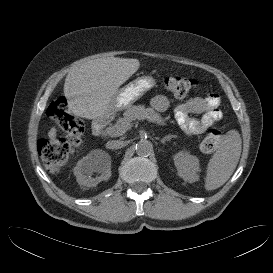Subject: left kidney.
<instances>
[{
	"label": "left kidney",
	"mask_w": 273,
	"mask_h": 273,
	"mask_svg": "<svg viewBox=\"0 0 273 273\" xmlns=\"http://www.w3.org/2000/svg\"><path fill=\"white\" fill-rule=\"evenodd\" d=\"M174 164L177 168L178 175L183 180L190 183L198 181L200 167L199 160L196 156L190 155L188 152L180 151L174 156Z\"/></svg>",
	"instance_id": "1"
}]
</instances>
